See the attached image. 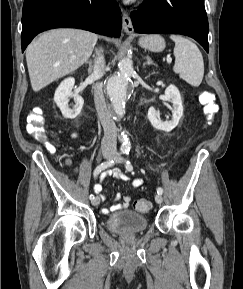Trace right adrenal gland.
<instances>
[{"mask_svg": "<svg viewBox=\"0 0 243 289\" xmlns=\"http://www.w3.org/2000/svg\"><path fill=\"white\" fill-rule=\"evenodd\" d=\"M97 49H95V53H94V55H93V57H95V54L97 55ZM86 64H88V73H91L92 72V68H93V62H92V60H88V61H86Z\"/></svg>", "mask_w": 243, "mask_h": 289, "instance_id": "obj_1", "label": "right adrenal gland"}]
</instances>
